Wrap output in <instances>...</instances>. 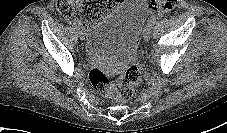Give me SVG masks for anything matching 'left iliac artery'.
<instances>
[{
  "mask_svg": "<svg viewBox=\"0 0 227 133\" xmlns=\"http://www.w3.org/2000/svg\"><path fill=\"white\" fill-rule=\"evenodd\" d=\"M156 23V18L155 17H151V19L148 21V25L153 27Z\"/></svg>",
  "mask_w": 227,
  "mask_h": 133,
  "instance_id": "1",
  "label": "left iliac artery"
}]
</instances>
